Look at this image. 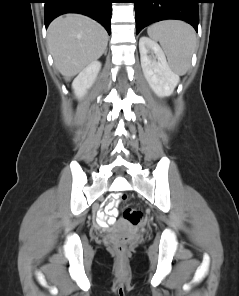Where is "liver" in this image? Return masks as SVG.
<instances>
[{"label": "liver", "mask_w": 239, "mask_h": 296, "mask_svg": "<svg viewBox=\"0 0 239 296\" xmlns=\"http://www.w3.org/2000/svg\"><path fill=\"white\" fill-rule=\"evenodd\" d=\"M47 40L56 68L68 79L101 57L108 34L87 16L66 14L49 25Z\"/></svg>", "instance_id": "liver-1"}]
</instances>
